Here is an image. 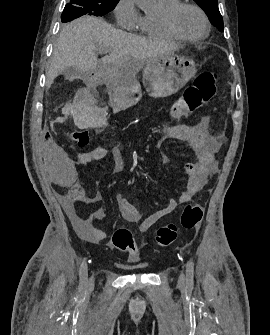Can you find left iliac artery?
I'll use <instances>...</instances> for the list:
<instances>
[{
	"label": "left iliac artery",
	"instance_id": "left-iliac-artery-1",
	"mask_svg": "<svg viewBox=\"0 0 270 335\" xmlns=\"http://www.w3.org/2000/svg\"><path fill=\"white\" fill-rule=\"evenodd\" d=\"M193 277H194V268L193 263L191 261L187 262L186 266V282L188 287L193 286Z\"/></svg>",
	"mask_w": 270,
	"mask_h": 335
}]
</instances>
